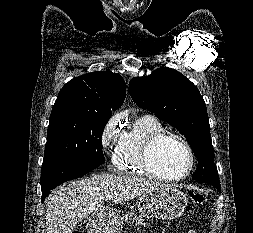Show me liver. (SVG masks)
Returning <instances> with one entry per match:
<instances>
[{
    "instance_id": "liver-1",
    "label": "liver",
    "mask_w": 253,
    "mask_h": 233,
    "mask_svg": "<svg viewBox=\"0 0 253 233\" xmlns=\"http://www.w3.org/2000/svg\"><path fill=\"white\" fill-rule=\"evenodd\" d=\"M166 186L144 178L100 174L70 182L49 199L46 206L47 233H72L88 214L102 216L107 195L115 204L129 201Z\"/></svg>"
}]
</instances>
